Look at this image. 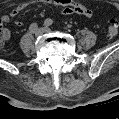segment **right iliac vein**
<instances>
[{"label": "right iliac vein", "instance_id": "63e3f726", "mask_svg": "<svg viewBox=\"0 0 119 119\" xmlns=\"http://www.w3.org/2000/svg\"><path fill=\"white\" fill-rule=\"evenodd\" d=\"M44 33L43 28L37 29L34 34L36 37L41 36Z\"/></svg>", "mask_w": 119, "mask_h": 119}]
</instances>
